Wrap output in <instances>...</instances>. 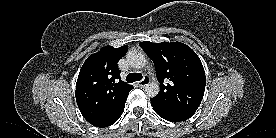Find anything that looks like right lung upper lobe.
I'll list each match as a JSON object with an SVG mask.
<instances>
[{"label":"right lung upper lobe","instance_id":"cb5924a9","mask_svg":"<svg viewBox=\"0 0 276 138\" xmlns=\"http://www.w3.org/2000/svg\"><path fill=\"white\" fill-rule=\"evenodd\" d=\"M128 46H105L84 62L76 83V101L83 117L96 127L114 124L133 89L120 79L118 61Z\"/></svg>","mask_w":276,"mask_h":138}]
</instances>
